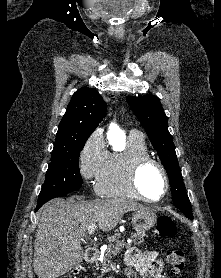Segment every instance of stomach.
I'll return each mask as SVG.
<instances>
[{
    "label": "stomach",
    "instance_id": "obj_1",
    "mask_svg": "<svg viewBox=\"0 0 221 278\" xmlns=\"http://www.w3.org/2000/svg\"><path fill=\"white\" fill-rule=\"evenodd\" d=\"M157 216L151 209L137 210L132 216L133 228L138 233H145L156 224Z\"/></svg>",
    "mask_w": 221,
    "mask_h": 278
}]
</instances>
